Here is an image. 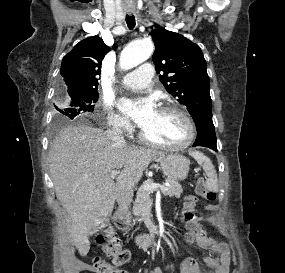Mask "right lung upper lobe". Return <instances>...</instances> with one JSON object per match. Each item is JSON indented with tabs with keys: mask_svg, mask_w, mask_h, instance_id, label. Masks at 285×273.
<instances>
[{
	"mask_svg": "<svg viewBox=\"0 0 285 273\" xmlns=\"http://www.w3.org/2000/svg\"><path fill=\"white\" fill-rule=\"evenodd\" d=\"M116 45L113 48L116 49ZM110 48L99 36L88 37L64 56L60 74L67 93L97 91L100 66Z\"/></svg>",
	"mask_w": 285,
	"mask_h": 273,
	"instance_id": "obj_1",
	"label": "right lung upper lobe"
}]
</instances>
